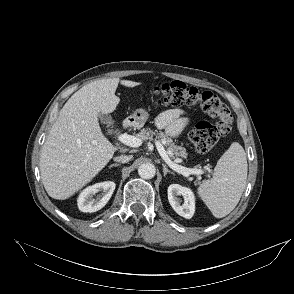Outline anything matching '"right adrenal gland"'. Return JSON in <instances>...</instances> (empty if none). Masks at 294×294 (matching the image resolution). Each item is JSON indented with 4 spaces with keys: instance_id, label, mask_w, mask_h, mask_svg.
Wrapping results in <instances>:
<instances>
[{
    "instance_id": "obj_1",
    "label": "right adrenal gland",
    "mask_w": 294,
    "mask_h": 294,
    "mask_svg": "<svg viewBox=\"0 0 294 294\" xmlns=\"http://www.w3.org/2000/svg\"><path fill=\"white\" fill-rule=\"evenodd\" d=\"M121 164H118V163H115V164H112L111 166H110V168L111 167H118V166H120Z\"/></svg>"
}]
</instances>
